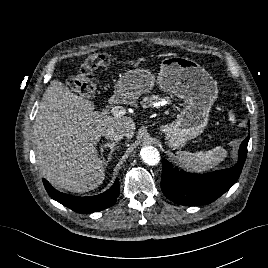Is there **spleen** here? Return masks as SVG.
I'll return each mask as SVG.
<instances>
[{"mask_svg":"<svg viewBox=\"0 0 268 268\" xmlns=\"http://www.w3.org/2000/svg\"><path fill=\"white\" fill-rule=\"evenodd\" d=\"M229 120L233 123L235 116L232 112H229ZM227 156V151L217 146L212 150L199 151L196 153L178 151L177 160L181 166L192 172H203L209 170L223 161Z\"/></svg>","mask_w":268,"mask_h":268,"instance_id":"3e777b00","label":"spleen"}]
</instances>
